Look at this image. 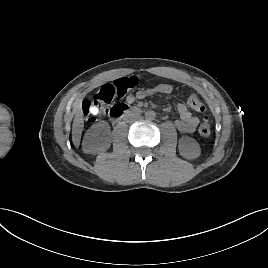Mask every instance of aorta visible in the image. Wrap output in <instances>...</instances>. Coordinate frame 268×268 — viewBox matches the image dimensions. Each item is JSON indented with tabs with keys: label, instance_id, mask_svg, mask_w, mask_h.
Wrapping results in <instances>:
<instances>
[{
	"label": "aorta",
	"instance_id": "762f6f07",
	"mask_svg": "<svg viewBox=\"0 0 268 268\" xmlns=\"http://www.w3.org/2000/svg\"><path fill=\"white\" fill-rule=\"evenodd\" d=\"M155 117H156V114H155L154 111H152V110H148V111L145 112V118H146L147 120H150V121H151V120H154Z\"/></svg>",
	"mask_w": 268,
	"mask_h": 268
}]
</instances>
